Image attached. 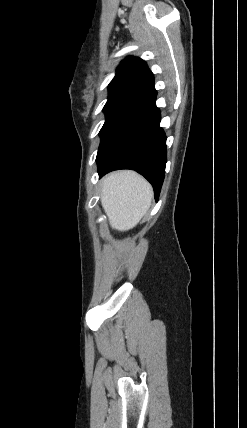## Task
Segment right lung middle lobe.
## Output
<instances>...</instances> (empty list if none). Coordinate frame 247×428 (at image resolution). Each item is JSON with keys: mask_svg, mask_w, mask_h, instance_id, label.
<instances>
[{"mask_svg": "<svg viewBox=\"0 0 247 428\" xmlns=\"http://www.w3.org/2000/svg\"><path fill=\"white\" fill-rule=\"evenodd\" d=\"M138 96L139 94L133 92H109L108 101L103 108L106 121L99 134L102 135L112 121Z\"/></svg>", "mask_w": 247, "mask_h": 428, "instance_id": "obj_1", "label": "right lung middle lobe"}]
</instances>
